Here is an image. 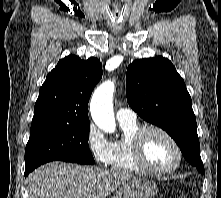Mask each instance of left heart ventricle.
<instances>
[{"label":"left heart ventricle","mask_w":221,"mask_h":198,"mask_svg":"<svg viewBox=\"0 0 221 198\" xmlns=\"http://www.w3.org/2000/svg\"><path fill=\"white\" fill-rule=\"evenodd\" d=\"M144 151L147 162L158 169L172 167L177 159L171 142L158 132H150L145 139Z\"/></svg>","instance_id":"obj_1"}]
</instances>
